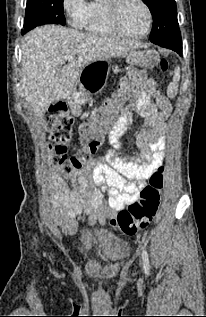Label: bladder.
<instances>
[{
	"mask_svg": "<svg viewBox=\"0 0 206 317\" xmlns=\"http://www.w3.org/2000/svg\"><path fill=\"white\" fill-rule=\"evenodd\" d=\"M80 255L90 262L109 267L124 259L130 250L129 243L110 231L98 229L86 235L79 244Z\"/></svg>",
	"mask_w": 206,
	"mask_h": 317,
	"instance_id": "1",
	"label": "bladder"
}]
</instances>
